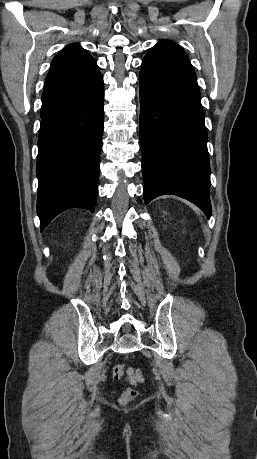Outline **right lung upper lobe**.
Wrapping results in <instances>:
<instances>
[{"label":"right lung upper lobe","mask_w":257,"mask_h":459,"mask_svg":"<svg viewBox=\"0 0 257 459\" xmlns=\"http://www.w3.org/2000/svg\"><path fill=\"white\" fill-rule=\"evenodd\" d=\"M93 57L77 44L62 49L52 60L44 91L78 84L99 74Z\"/></svg>","instance_id":"cb5924a9"}]
</instances>
